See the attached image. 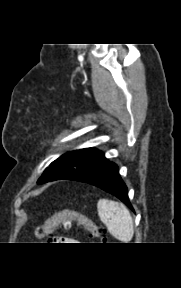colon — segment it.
Returning a JSON list of instances; mask_svg holds the SVG:
<instances>
[{"mask_svg":"<svg viewBox=\"0 0 181 288\" xmlns=\"http://www.w3.org/2000/svg\"><path fill=\"white\" fill-rule=\"evenodd\" d=\"M73 223L84 228L90 238L98 239L102 242L105 241L106 235L103 228L81 212L71 209H63L47 222L38 225L34 230V234L37 238H44L58 229H71Z\"/></svg>","mask_w":181,"mask_h":288,"instance_id":"5ec220e1","label":"colon"}]
</instances>
